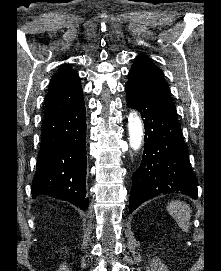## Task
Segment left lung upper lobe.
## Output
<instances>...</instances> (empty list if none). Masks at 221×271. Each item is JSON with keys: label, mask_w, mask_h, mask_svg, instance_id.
<instances>
[{"label": "left lung upper lobe", "mask_w": 221, "mask_h": 271, "mask_svg": "<svg viewBox=\"0 0 221 271\" xmlns=\"http://www.w3.org/2000/svg\"><path fill=\"white\" fill-rule=\"evenodd\" d=\"M143 91L152 101L158 103L170 112L176 113L171 93L162 71L147 57L139 55L129 71V81Z\"/></svg>", "instance_id": "5c2ea615"}]
</instances>
